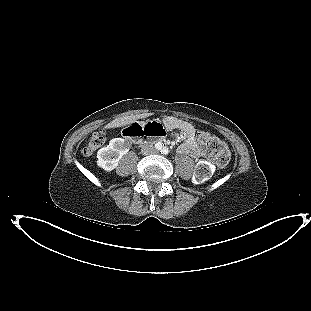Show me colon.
Masks as SVG:
<instances>
[{"instance_id":"1","label":"colon","mask_w":311,"mask_h":311,"mask_svg":"<svg viewBox=\"0 0 311 311\" xmlns=\"http://www.w3.org/2000/svg\"><path fill=\"white\" fill-rule=\"evenodd\" d=\"M142 128L141 126L132 127L126 130V134L131 129ZM144 129V128H142ZM145 130V129H144ZM154 134L162 137L165 135V131L162 127L156 126L152 128ZM199 143L203 153L219 168H225L230 161V150L227 145L219 138L210 135L208 133H199ZM105 142V136L102 132H97L92 135L88 144L83 148V154L85 156L92 155L98 148H100ZM211 162L204 160L200 161L195 168L194 181L198 184L207 181L213 174Z\"/></svg>"}]
</instances>
